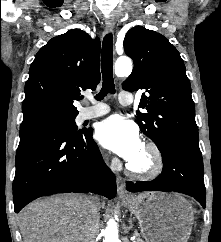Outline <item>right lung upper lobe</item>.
Returning a JSON list of instances; mask_svg holds the SVG:
<instances>
[{
    "mask_svg": "<svg viewBox=\"0 0 221 242\" xmlns=\"http://www.w3.org/2000/svg\"><path fill=\"white\" fill-rule=\"evenodd\" d=\"M100 82V41L72 29L52 38L36 54L25 84L20 128L77 115L80 92Z\"/></svg>",
    "mask_w": 221,
    "mask_h": 242,
    "instance_id": "cb5924a9",
    "label": "right lung upper lobe"
}]
</instances>
